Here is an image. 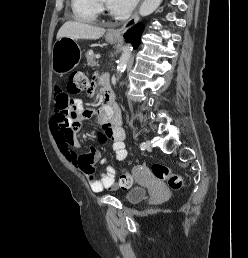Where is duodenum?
I'll return each instance as SVG.
<instances>
[{
	"label": "duodenum",
	"instance_id": "obj_1",
	"mask_svg": "<svg viewBox=\"0 0 248 258\" xmlns=\"http://www.w3.org/2000/svg\"><path fill=\"white\" fill-rule=\"evenodd\" d=\"M102 84L104 85V104L101 108H103V110L107 112H114L115 108L113 103V92L106 77L102 78Z\"/></svg>",
	"mask_w": 248,
	"mask_h": 258
}]
</instances>
